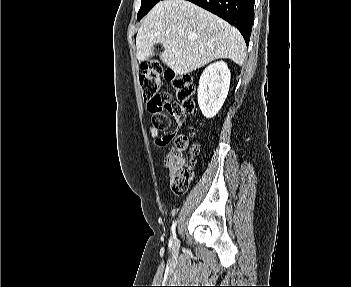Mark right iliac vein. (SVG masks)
<instances>
[{"label": "right iliac vein", "instance_id": "1", "mask_svg": "<svg viewBox=\"0 0 351 287\" xmlns=\"http://www.w3.org/2000/svg\"><path fill=\"white\" fill-rule=\"evenodd\" d=\"M174 245L177 246L178 245V241H175Z\"/></svg>", "mask_w": 351, "mask_h": 287}]
</instances>
